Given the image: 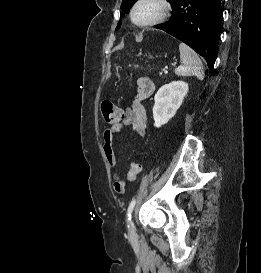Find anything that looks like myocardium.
<instances>
[{
	"label": "myocardium",
	"instance_id": "myocardium-1",
	"mask_svg": "<svg viewBox=\"0 0 261 273\" xmlns=\"http://www.w3.org/2000/svg\"><path fill=\"white\" fill-rule=\"evenodd\" d=\"M146 4H153L156 6V13L148 20L139 22L136 19L137 10ZM171 12V4L168 0H137L130 9V20L132 24L138 28H147L158 25L164 22Z\"/></svg>",
	"mask_w": 261,
	"mask_h": 273
}]
</instances>
